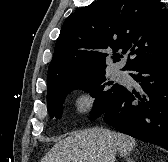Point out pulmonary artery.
<instances>
[{"mask_svg":"<svg viewBox=\"0 0 168 162\" xmlns=\"http://www.w3.org/2000/svg\"><path fill=\"white\" fill-rule=\"evenodd\" d=\"M120 76H124V73H119Z\"/></svg>","mask_w":168,"mask_h":162,"instance_id":"pulmonary-artery-1","label":"pulmonary artery"}]
</instances>
